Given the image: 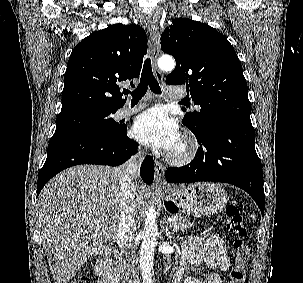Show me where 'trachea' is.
<instances>
[{"mask_svg": "<svg viewBox=\"0 0 303 283\" xmlns=\"http://www.w3.org/2000/svg\"><path fill=\"white\" fill-rule=\"evenodd\" d=\"M148 87H150L153 93L161 94V88L152 72L150 58H147L144 62L138 87L133 92L126 91L125 93L132 95V101H139L147 92Z\"/></svg>", "mask_w": 303, "mask_h": 283, "instance_id": "3493384b", "label": "trachea"}]
</instances>
